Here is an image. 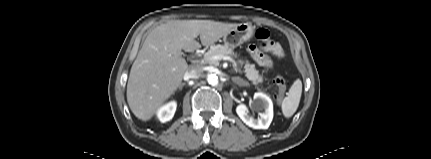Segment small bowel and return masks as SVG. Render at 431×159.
I'll return each instance as SVG.
<instances>
[{"instance_id":"small-bowel-1","label":"small bowel","mask_w":431,"mask_h":159,"mask_svg":"<svg viewBox=\"0 0 431 159\" xmlns=\"http://www.w3.org/2000/svg\"><path fill=\"white\" fill-rule=\"evenodd\" d=\"M248 50L252 58L264 68H270L272 66V60L266 53H271L277 58H281L283 56L281 46L275 42L271 46L263 45L262 47H256L251 45Z\"/></svg>"}]
</instances>
